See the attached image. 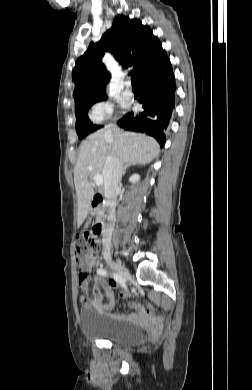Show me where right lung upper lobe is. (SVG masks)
Instances as JSON below:
<instances>
[{
  "label": "right lung upper lobe",
  "instance_id": "1",
  "mask_svg": "<svg viewBox=\"0 0 252 390\" xmlns=\"http://www.w3.org/2000/svg\"><path fill=\"white\" fill-rule=\"evenodd\" d=\"M105 51L112 53L123 68L133 66L132 73L136 74L138 83L171 67L159 39L148 26L118 15L101 40L95 44L91 42L75 64L72 71L75 108L106 97L104 84L109 81L110 74L101 62Z\"/></svg>",
  "mask_w": 252,
  "mask_h": 390
}]
</instances>
